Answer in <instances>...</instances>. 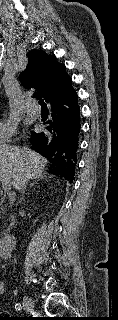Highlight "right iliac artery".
Returning <instances> with one entry per match:
<instances>
[{"label": "right iliac artery", "instance_id": "1", "mask_svg": "<svg viewBox=\"0 0 118 320\" xmlns=\"http://www.w3.org/2000/svg\"><path fill=\"white\" fill-rule=\"evenodd\" d=\"M15 309L18 310V311H20V310L22 309V305H21L20 303H17V304L15 305Z\"/></svg>", "mask_w": 118, "mask_h": 320}]
</instances>
